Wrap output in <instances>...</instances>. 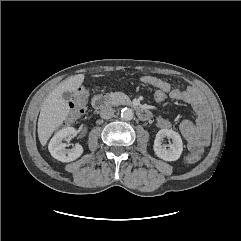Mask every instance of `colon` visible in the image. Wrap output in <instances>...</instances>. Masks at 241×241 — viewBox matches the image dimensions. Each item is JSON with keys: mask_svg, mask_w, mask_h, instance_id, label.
I'll return each instance as SVG.
<instances>
[{"mask_svg": "<svg viewBox=\"0 0 241 241\" xmlns=\"http://www.w3.org/2000/svg\"><path fill=\"white\" fill-rule=\"evenodd\" d=\"M152 97L157 103H164L168 100V93L162 88H154ZM88 93L85 90L77 92L70 103V114L67 119L68 123H73L84 113L87 106ZM187 163H196L199 160V156L196 154H187L184 157Z\"/></svg>", "mask_w": 241, "mask_h": 241, "instance_id": "obj_1", "label": "colon"}]
</instances>
